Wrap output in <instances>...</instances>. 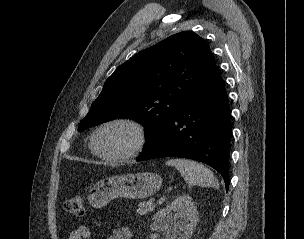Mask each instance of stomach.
Here are the masks:
<instances>
[{
    "label": "stomach",
    "instance_id": "obj_1",
    "mask_svg": "<svg viewBox=\"0 0 304 239\" xmlns=\"http://www.w3.org/2000/svg\"><path fill=\"white\" fill-rule=\"evenodd\" d=\"M162 185L161 177L154 172H138L105 178L89 191L87 199L95 208H102L117 197L142 199L155 194Z\"/></svg>",
    "mask_w": 304,
    "mask_h": 239
}]
</instances>
